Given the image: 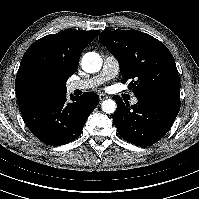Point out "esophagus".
Instances as JSON below:
<instances>
[{
	"label": "esophagus",
	"instance_id": "esophagus-1",
	"mask_svg": "<svg viewBox=\"0 0 199 199\" xmlns=\"http://www.w3.org/2000/svg\"><path fill=\"white\" fill-rule=\"evenodd\" d=\"M98 97H99V99H100L101 101L108 98V96H107L106 94H103V93H99V94H98Z\"/></svg>",
	"mask_w": 199,
	"mask_h": 199
}]
</instances>
